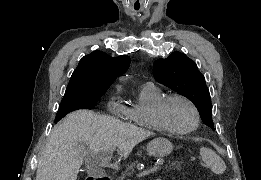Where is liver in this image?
<instances>
[{"label": "liver", "mask_w": 261, "mask_h": 180, "mask_svg": "<svg viewBox=\"0 0 261 180\" xmlns=\"http://www.w3.org/2000/svg\"><path fill=\"white\" fill-rule=\"evenodd\" d=\"M153 132L92 110H76L54 126L38 160L36 180H77L83 162H96L99 152L117 150L126 160Z\"/></svg>", "instance_id": "liver-1"}]
</instances>
